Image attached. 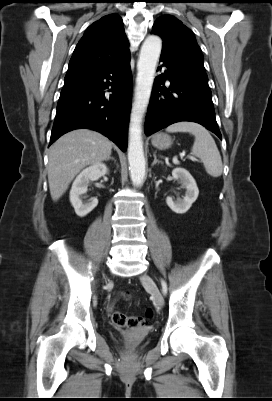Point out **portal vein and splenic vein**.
I'll use <instances>...</instances> for the list:
<instances>
[{
    "label": "portal vein and splenic vein",
    "instance_id": "portal-vein-and-splenic-vein-1",
    "mask_svg": "<svg viewBox=\"0 0 272 401\" xmlns=\"http://www.w3.org/2000/svg\"><path fill=\"white\" fill-rule=\"evenodd\" d=\"M184 155H185L184 153L181 154V156H184ZM188 158L191 159V160H193V161H198V159H196V158L193 157V156H188ZM174 162H175V163H178V160L175 158V159H174Z\"/></svg>",
    "mask_w": 272,
    "mask_h": 401
}]
</instances>
